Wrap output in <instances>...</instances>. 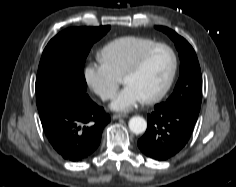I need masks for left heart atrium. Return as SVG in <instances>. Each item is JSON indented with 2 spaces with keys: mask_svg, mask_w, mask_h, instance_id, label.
I'll return each mask as SVG.
<instances>
[{
  "mask_svg": "<svg viewBox=\"0 0 236 187\" xmlns=\"http://www.w3.org/2000/svg\"><path fill=\"white\" fill-rule=\"evenodd\" d=\"M143 99L140 94L129 85H126L114 98L111 108L115 111H129Z\"/></svg>",
  "mask_w": 236,
  "mask_h": 187,
  "instance_id": "39dd6f15",
  "label": "left heart atrium"
}]
</instances>
